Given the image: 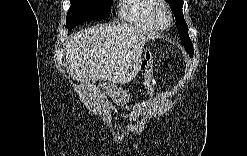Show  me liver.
<instances>
[{"label":"liver","instance_id":"liver-1","mask_svg":"<svg viewBox=\"0 0 247 156\" xmlns=\"http://www.w3.org/2000/svg\"><path fill=\"white\" fill-rule=\"evenodd\" d=\"M157 37L129 24L97 25L72 34L66 50L69 72L88 85L98 80L128 83L140 70L145 43Z\"/></svg>","mask_w":247,"mask_h":156}]
</instances>
